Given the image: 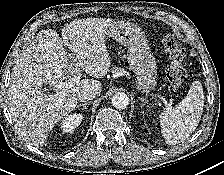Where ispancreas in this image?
Returning a JSON list of instances; mask_svg holds the SVG:
<instances>
[{
	"label": "pancreas",
	"instance_id": "1",
	"mask_svg": "<svg viewBox=\"0 0 224 175\" xmlns=\"http://www.w3.org/2000/svg\"><path fill=\"white\" fill-rule=\"evenodd\" d=\"M118 72H124L125 73V71L120 67H114L112 69V73H118Z\"/></svg>",
	"mask_w": 224,
	"mask_h": 175
}]
</instances>
